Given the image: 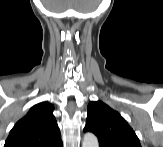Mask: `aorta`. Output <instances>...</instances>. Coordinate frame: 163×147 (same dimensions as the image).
<instances>
[{
  "instance_id": "aorta-1",
  "label": "aorta",
  "mask_w": 163,
  "mask_h": 147,
  "mask_svg": "<svg viewBox=\"0 0 163 147\" xmlns=\"http://www.w3.org/2000/svg\"><path fill=\"white\" fill-rule=\"evenodd\" d=\"M97 137L92 133H86L83 138L82 147H98Z\"/></svg>"
}]
</instances>
